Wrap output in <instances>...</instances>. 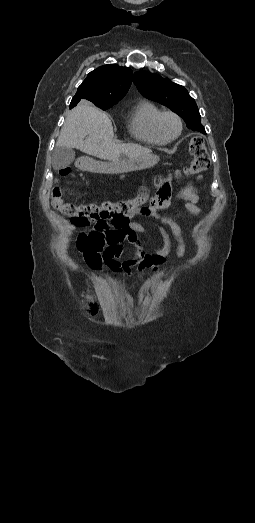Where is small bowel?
Masks as SVG:
<instances>
[{
  "label": "small bowel",
  "instance_id": "small-bowel-1",
  "mask_svg": "<svg viewBox=\"0 0 255 523\" xmlns=\"http://www.w3.org/2000/svg\"><path fill=\"white\" fill-rule=\"evenodd\" d=\"M176 200L189 213L193 215L201 213L200 198L192 184L185 185L176 195ZM172 204L173 199L168 193L163 199L154 198L149 207L130 212L126 222L121 226L96 222L91 230L83 229L78 233L75 246L88 266L95 270H100L103 265H106L112 271L123 270L127 273H131L132 267H137L139 274L146 268L158 271L172 248L171 236L166 227L169 228L177 243L176 256L182 259L186 253L185 241L179 224L170 217L159 214L160 210L166 209ZM138 217H145L153 221L162 238L160 248L150 252L144 250L141 236L149 240L150 233L144 225L132 220ZM127 253H129L128 256Z\"/></svg>",
  "mask_w": 255,
  "mask_h": 523
}]
</instances>
